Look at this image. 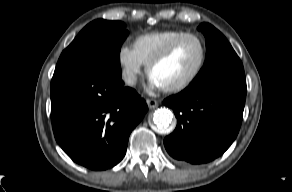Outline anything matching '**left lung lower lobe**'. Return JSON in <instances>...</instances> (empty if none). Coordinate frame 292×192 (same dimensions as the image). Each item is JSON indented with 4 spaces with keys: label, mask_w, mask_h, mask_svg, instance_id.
Returning a JSON list of instances; mask_svg holds the SVG:
<instances>
[{
    "label": "left lung lower lobe",
    "mask_w": 292,
    "mask_h": 192,
    "mask_svg": "<svg viewBox=\"0 0 292 192\" xmlns=\"http://www.w3.org/2000/svg\"><path fill=\"white\" fill-rule=\"evenodd\" d=\"M246 90L245 76H225L190 84L165 99L177 118L175 131L164 139L167 152L191 164L222 155L239 132Z\"/></svg>",
    "instance_id": "0a47b994"
}]
</instances>
